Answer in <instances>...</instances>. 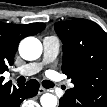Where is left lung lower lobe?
Instances as JSON below:
<instances>
[{
    "label": "left lung lower lobe",
    "mask_w": 107,
    "mask_h": 107,
    "mask_svg": "<svg viewBox=\"0 0 107 107\" xmlns=\"http://www.w3.org/2000/svg\"><path fill=\"white\" fill-rule=\"evenodd\" d=\"M107 95L102 94L96 99L81 95L79 87L68 89L60 99L59 107H106Z\"/></svg>",
    "instance_id": "left-lung-lower-lobe-1"
}]
</instances>
